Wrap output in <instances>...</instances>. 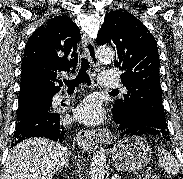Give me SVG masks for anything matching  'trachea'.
Returning a JSON list of instances; mask_svg holds the SVG:
<instances>
[{"instance_id":"trachea-1","label":"trachea","mask_w":183,"mask_h":179,"mask_svg":"<svg viewBox=\"0 0 183 179\" xmlns=\"http://www.w3.org/2000/svg\"><path fill=\"white\" fill-rule=\"evenodd\" d=\"M90 67V63L87 58L83 57L81 62V68L78 72V75L75 79L72 80H64L65 85L67 86L69 91H74L76 87H78L81 83H86L87 85L91 84V79L87 73ZM117 90H113L115 92Z\"/></svg>"}]
</instances>
